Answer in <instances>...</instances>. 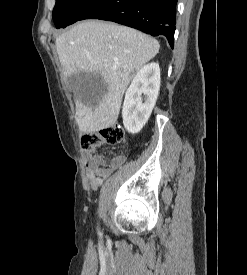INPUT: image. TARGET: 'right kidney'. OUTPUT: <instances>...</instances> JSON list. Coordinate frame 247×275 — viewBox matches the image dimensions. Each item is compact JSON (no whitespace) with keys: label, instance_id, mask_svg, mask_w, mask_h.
I'll list each match as a JSON object with an SVG mask.
<instances>
[{"label":"right kidney","instance_id":"ca27d5eb","mask_svg":"<svg viewBox=\"0 0 247 275\" xmlns=\"http://www.w3.org/2000/svg\"><path fill=\"white\" fill-rule=\"evenodd\" d=\"M160 89V68L157 63L143 66L126 91L122 108L125 129L138 133L148 121ZM142 94L145 95L144 102Z\"/></svg>","mask_w":247,"mask_h":275}]
</instances>
